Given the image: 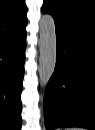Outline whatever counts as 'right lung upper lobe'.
I'll list each match as a JSON object with an SVG mask.
<instances>
[{"mask_svg":"<svg viewBox=\"0 0 95 130\" xmlns=\"http://www.w3.org/2000/svg\"><path fill=\"white\" fill-rule=\"evenodd\" d=\"M26 14L25 0H0V41L25 31Z\"/></svg>","mask_w":95,"mask_h":130,"instance_id":"right-lung-upper-lobe-1","label":"right lung upper lobe"}]
</instances>
